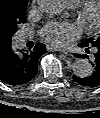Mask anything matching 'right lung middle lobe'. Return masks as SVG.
<instances>
[{
    "label": "right lung middle lobe",
    "instance_id": "right-lung-middle-lobe-1",
    "mask_svg": "<svg viewBox=\"0 0 100 118\" xmlns=\"http://www.w3.org/2000/svg\"><path fill=\"white\" fill-rule=\"evenodd\" d=\"M25 11H26V7H22L21 10H20V14L23 18V22H25Z\"/></svg>",
    "mask_w": 100,
    "mask_h": 118
}]
</instances>
